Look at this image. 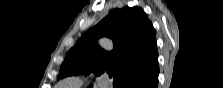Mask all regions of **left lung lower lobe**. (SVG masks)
I'll return each mask as SVG.
<instances>
[{
    "mask_svg": "<svg viewBox=\"0 0 223 88\" xmlns=\"http://www.w3.org/2000/svg\"><path fill=\"white\" fill-rule=\"evenodd\" d=\"M158 75L159 64L157 58L142 73L125 83L122 88H157Z\"/></svg>",
    "mask_w": 223,
    "mask_h": 88,
    "instance_id": "left-lung-lower-lobe-1",
    "label": "left lung lower lobe"
}]
</instances>
